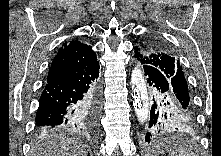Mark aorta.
Listing matches in <instances>:
<instances>
[{"label":"aorta","mask_w":221,"mask_h":156,"mask_svg":"<svg viewBox=\"0 0 221 156\" xmlns=\"http://www.w3.org/2000/svg\"><path fill=\"white\" fill-rule=\"evenodd\" d=\"M131 81L133 106L138 114L139 120L143 123L145 121L144 98L147 89L142 72L138 68L133 70Z\"/></svg>","instance_id":"762f6f07"}]
</instances>
